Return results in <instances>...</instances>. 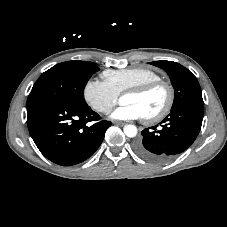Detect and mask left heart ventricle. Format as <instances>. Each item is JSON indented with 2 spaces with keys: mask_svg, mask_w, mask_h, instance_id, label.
Instances as JSON below:
<instances>
[{
  "mask_svg": "<svg viewBox=\"0 0 227 227\" xmlns=\"http://www.w3.org/2000/svg\"><path fill=\"white\" fill-rule=\"evenodd\" d=\"M166 99V90L163 87H159L143 96L131 94L124 95L122 97V103L137 106L142 112L143 117H146L160 111L164 106Z\"/></svg>",
  "mask_w": 227,
  "mask_h": 227,
  "instance_id": "b2bd125f",
  "label": "left heart ventricle"
}]
</instances>
